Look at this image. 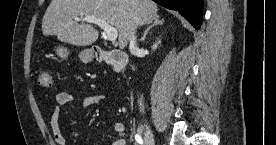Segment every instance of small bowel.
Returning a JSON list of instances; mask_svg holds the SVG:
<instances>
[{"label":"small bowel","mask_w":276,"mask_h":145,"mask_svg":"<svg viewBox=\"0 0 276 145\" xmlns=\"http://www.w3.org/2000/svg\"><path fill=\"white\" fill-rule=\"evenodd\" d=\"M75 100L76 95L68 91L60 92L55 97V105L50 116V127L53 134V138L58 145H67L66 138L62 132L60 125V116L62 108ZM104 101L105 96L103 95H87L79 101V106L87 108L95 104L103 103ZM124 130L125 127L122 122H116L114 124V131L117 135V138L114 141L113 145H127V141L124 137Z\"/></svg>","instance_id":"c3829d8e"}]
</instances>
